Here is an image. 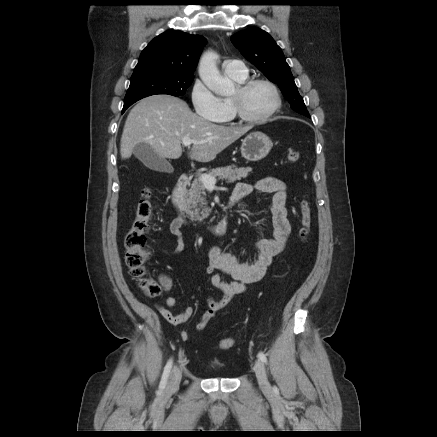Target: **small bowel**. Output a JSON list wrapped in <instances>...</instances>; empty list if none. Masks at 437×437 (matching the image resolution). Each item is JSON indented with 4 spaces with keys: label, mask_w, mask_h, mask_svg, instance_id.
<instances>
[{
    "label": "small bowel",
    "mask_w": 437,
    "mask_h": 437,
    "mask_svg": "<svg viewBox=\"0 0 437 437\" xmlns=\"http://www.w3.org/2000/svg\"><path fill=\"white\" fill-rule=\"evenodd\" d=\"M253 190L262 193L272 194L271 214L274 227L273 237L260 239L256 245V256L251 260H240L237 256L222 252L218 247H212L208 253V266L206 272L210 275L211 285L222 293L220 300L208 298V310L202 315L197 323V330L205 329L209 320L215 318L216 314L227 308L230 301L237 295L245 292L248 284L257 282L263 278L273 258L279 254L285 246L291 226L286 208L287 188L286 184L275 177H266L257 181L254 185L240 182L236 185L232 196L241 200L248 196ZM182 222L175 217L170 223V233L176 238V246L173 250H165L169 254H178L184 249L182 237ZM222 275L229 276L232 280L227 282ZM165 291L171 288V280L168 277L161 279ZM166 307L158 306L161 316L173 325H180L187 322L194 315V308L187 307L182 313L174 314L170 308L176 304L173 296H167ZM183 341L189 339L186 331L180 333Z\"/></svg>",
    "instance_id": "c3829d8e"
}]
</instances>
